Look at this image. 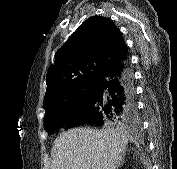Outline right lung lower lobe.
I'll list each match as a JSON object with an SVG mask.
<instances>
[{"label": "right lung lower lobe", "instance_id": "98d812e1", "mask_svg": "<svg viewBox=\"0 0 177 169\" xmlns=\"http://www.w3.org/2000/svg\"><path fill=\"white\" fill-rule=\"evenodd\" d=\"M94 82L96 93L89 107L62 128L103 126L137 117L134 75L128 55L101 71Z\"/></svg>", "mask_w": 177, "mask_h": 169}]
</instances>
